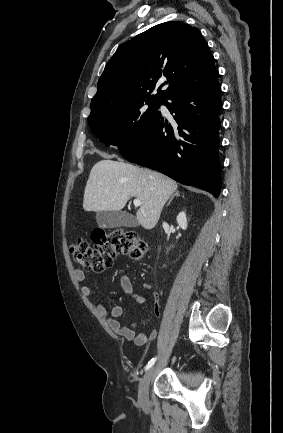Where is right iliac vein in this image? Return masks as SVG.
I'll return each mask as SVG.
<instances>
[{
  "instance_id": "obj_1",
  "label": "right iliac vein",
  "mask_w": 283,
  "mask_h": 433,
  "mask_svg": "<svg viewBox=\"0 0 283 433\" xmlns=\"http://www.w3.org/2000/svg\"><path fill=\"white\" fill-rule=\"evenodd\" d=\"M154 372V367H150L146 373L144 374L138 390V402L139 405H141L142 408H145L149 401H148V390H149V384L152 379Z\"/></svg>"
}]
</instances>
